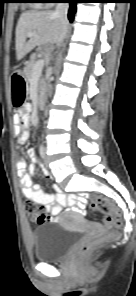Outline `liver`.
I'll return each instance as SVG.
<instances>
[{"label": "liver", "instance_id": "liver-1", "mask_svg": "<svg viewBox=\"0 0 136 296\" xmlns=\"http://www.w3.org/2000/svg\"><path fill=\"white\" fill-rule=\"evenodd\" d=\"M64 23L53 11H27L21 14L16 27V59L21 60L36 46L58 42ZM36 32L28 41L27 33Z\"/></svg>", "mask_w": 136, "mask_h": 296}]
</instances>
